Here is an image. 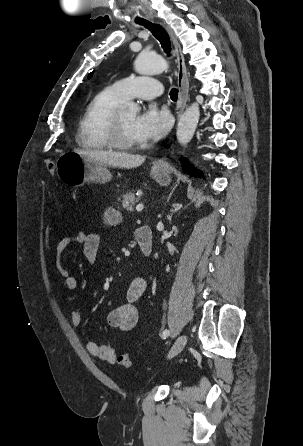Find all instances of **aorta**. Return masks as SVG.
<instances>
[{"label": "aorta", "instance_id": "1", "mask_svg": "<svg viewBox=\"0 0 303 446\" xmlns=\"http://www.w3.org/2000/svg\"><path fill=\"white\" fill-rule=\"evenodd\" d=\"M135 71L141 75L160 74L168 68L167 62L160 56H153L146 52L138 55L134 63ZM139 110L137 104H130L127 112L136 114ZM200 118L199 102L191 104L181 115L177 126V140L182 145H187L196 130Z\"/></svg>", "mask_w": 303, "mask_h": 446}]
</instances>
